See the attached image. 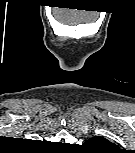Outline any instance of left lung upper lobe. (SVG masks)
Wrapping results in <instances>:
<instances>
[{"instance_id": "left-lung-upper-lobe-1", "label": "left lung upper lobe", "mask_w": 135, "mask_h": 153, "mask_svg": "<svg viewBox=\"0 0 135 153\" xmlns=\"http://www.w3.org/2000/svg\"><path fill=\"white\" fill-rule=\"evenodd\" d=\"M89 148L96 150H109L115 148V145L103 137H92L85 143Z\"/></svg>"}]
</instances>
